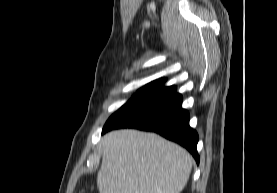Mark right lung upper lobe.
I'll use <instances>...</instances> for the list:
<instances>
[{
    "label": "right lung upper lobe",
    "instance_id": "obj_1",
    "mask_svg": "<svg viewBox=\"0 0 277 193\" xmlns=\"http://www.w3.org/2000/svg\"><path fill=\"white\" fill-rule=\"evenodd\" d=\"M164 82H165L164 78L155 80V81L145 85L144 87H142L138 92L144 93L146 95L151 94L153 92H156V91L164 88L163 87Z\"/></svg>",
    "mask_w": 277,
    "mask_h": 193
}]
</instances>
